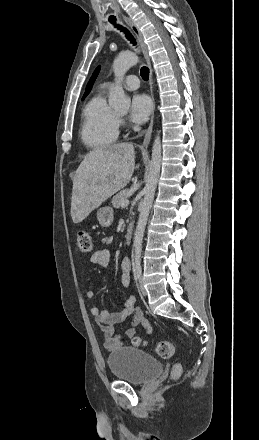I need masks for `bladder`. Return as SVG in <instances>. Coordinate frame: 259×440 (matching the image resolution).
<instances>
[{
  "label": "bladder",
  "mask_w": 259,
  "mask_h": 440,
  "mask_svg": "<svg viewBox=\"0 0 259 440\" xmlns=\"http://www.w3.org/2000/svg\"><path fill=\"white\" fill-rule=\"evenodd\" d=\"M112 375L132 384H145L163 371V364L151 354L134 347L114 349L107 358Z\"/></svg>",
  "instance_id": "bladder-1"
}]
</instances>
